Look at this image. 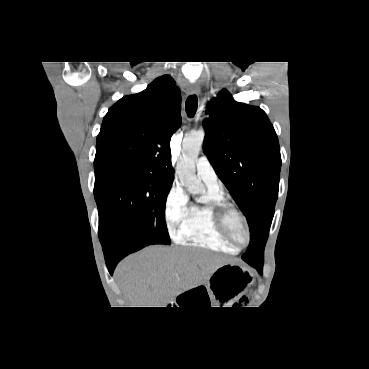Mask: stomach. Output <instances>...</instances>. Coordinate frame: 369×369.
<instances>
[{
	"label": "stomach",
	"mask_w": 369,
	"mask_h": 369,
	"mask_svg": "<svg viewBox=\"0 0 369 369\" xmlns=\"http://www.w3.org/2000/svg\"><path fill=\"white\" fill-rule=\"evenodd\" d=\"M251 280V274L241 266L224 263L212 273L205 288L214 300L229 303L246 291Z\"/></svg>",
	"instance_id": "obj_1"
}]
</instances>
